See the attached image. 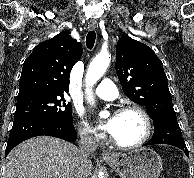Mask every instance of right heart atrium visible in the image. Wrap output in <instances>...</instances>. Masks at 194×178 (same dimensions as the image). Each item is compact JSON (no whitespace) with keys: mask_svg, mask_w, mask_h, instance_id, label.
Segmentation results:
<instances>
[{"mask_svg":"<svg viewBox=\"0 0 194 178\" xmlns=\"http://www.w3.org/2000/svg\"><path fill=\"white\" fill-rule=\"evenodd\" d=\"M77 132L79 136L87 142H99L102 135L98 133L84 118L80 117L77 123Z\"/></svg>","mask_w":194,"mask_h":178,"instance_id":"right-heart-atrium-1","label":"right heart atrium"}]
</instances>
